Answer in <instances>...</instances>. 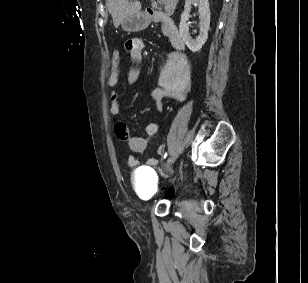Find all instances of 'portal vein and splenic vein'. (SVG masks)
I'll list each match as a JSON object with an SVG mask.
<instances>
[{"mask_svg": "<svg viewBox=\"0 0 308 283\" xmlns=\"http://www.w3.org/2000/svg\"><path fill=\"white\" fill-rule=\"evenodd\" d=\"M154 3L156 4V2H154ZM157 3H162V2H161V0H158V2H157Z\"/></svg>", "mask_w": 308, "mask_h": 283, "instance_id": "obj_1", "label": "portal vein and splenic vein"}]
</instances>
